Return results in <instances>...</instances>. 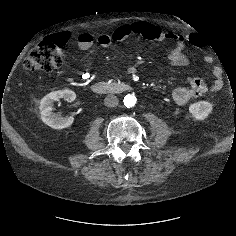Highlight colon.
Masks as SVG:
<instances>
[{"label":"colon","mask_w":236,"mask_h":236,"mask_svg":"<svg viewBox=\"0 0 236 236\" xmlns=\"http://www.w3.org/2000/svg\"><path fill=\"white\" fill-rule=\"evenodd\" d=\"M63 46L64 42L57 36L43 40L29 52L24 60V67L29 71L45 73L58 69L65 59Z\"/></svg>","instance_id":"obj_1"}]
</instances>
